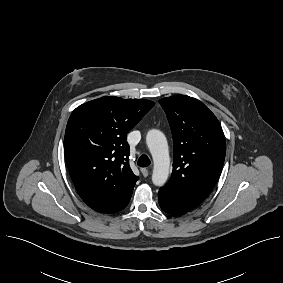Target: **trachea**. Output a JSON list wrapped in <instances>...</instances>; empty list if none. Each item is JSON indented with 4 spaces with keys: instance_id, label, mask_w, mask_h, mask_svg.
<instances>
[{
    "instance_id": "3493384b",
    "label": "trachea",
    "mask_w": 283,
    "mask_h": 283,
    "mask_svg": "<svg viewBox=\"0 0 283 283\" xmlns=\"http://www.w3.org/2000/svg\"><path fill=\"white\" fill-rule=\"evenodd\" d=\"M150 159L148 158L147 155H141L138 159V166L140 167H147L150 165Z\"/></svg>"
}]
</instances>
